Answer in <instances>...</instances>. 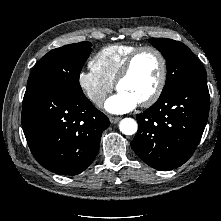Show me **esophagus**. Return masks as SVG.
Instances as JSON below:
<instances>
[{"instance_id":"34e87169","label":"esophagus","mask_w":221,"mask_h":221,"mask_svg":"<svg viewBox=\"0 0 221 221\" xmlns=\"http://www.w3.org/2000/svg\"><path fill=\"white\" fill-rule=\"evenodd\" d=\"M120 119H121L120 117H113V116L109 117L110 122L113 123V124H115L118 121H120Z\"/></svg>"}]
</instances>
